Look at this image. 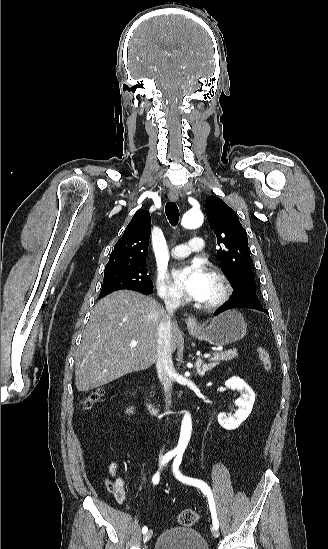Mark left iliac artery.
Returning <instances> with one entry per match:
<instances>
[{"label":"left iliac artery","instance_id":"obj_1","mask_svg":"<svg viewBox=\"0 0 328 549\" xmlns=\"http://www.w3.org/2000/svg\"><path fill=\"white\" fill-rule=\"evenodd\" d=\"M181 461H182V455L177 454V456H176V458L174 459V462H173V472H174L176 478L178 480L184 482V483H187V484H190V485H193V486H196V487L200 488L201 491L204 494L207 495L208 501H209V507H210V511H211V515H212V519H213V526H214V528L218 529L219 528V522H218V518H217L216 507H215L213 494H212V491H211L210 487L204 481L183 476L179 471V466L181 464Z\"/></svg>","mask_w":328,"mask_h":549}]
</instances>
